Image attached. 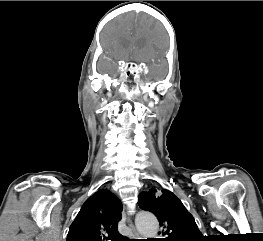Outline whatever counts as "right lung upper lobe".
Returning <instances> with one entry per match:
<instances>
[{
	"label": "right lung upper lobe",
	"instance_id": "right-lung-upper-lobe-1",
	"mask_svg": "<svg viewBox=\"0 0 263 241\" xmlns=\"http://www.w3.org/2000/svg\"><path fill=\"white\" fill-rule=\"evenodd\" d=\"M122 204L109 190L89 197L70 226L66 241H129L118 231Z\"/></svg>",
	"mask_w": 263,
	"mask_h": 241
}]
</instances>
